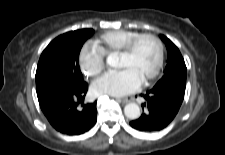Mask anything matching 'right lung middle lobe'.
Returning a JSON list of instances; mask_svg holds the SVG:
<instances>
[{
	"label": "right lung middle lobe",
	"instance_id": "dd1d6c3e",
	"mask_svg": "<svg viewBox=\"0 0 225 155\" xmlns=\"http://www.w3.org/2000/svg\"><path fill=\"white\" fill-rule=\"evenodd\" d=\"M93 30H76L58 36L42 52L36 71L38 99L63 84H83L79 53Z\"/></svg>",
	"mask_w": 225,
	"mask_h": 155
}]
</instances>
